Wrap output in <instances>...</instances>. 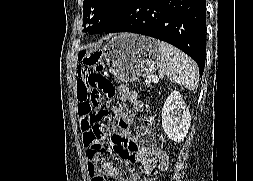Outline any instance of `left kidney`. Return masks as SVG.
Masks as SVG:
<instances>
[{"label":"left kidney","instance_id":"5707ae66","mask_svg":"<svg viewBox=\"0 0 253 181\" xmlns=\"http://www.w3.org/2000/svg\"><path fill=\"white\" fill-rule=\"evenodd\" d=\"M191 124V115L182 96L173 91L162 109V127L169 139L175 142L184 140Z\"/></svg>","mask_w":253,"mask_h":181}]
</instances>
